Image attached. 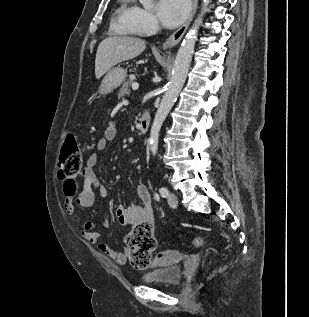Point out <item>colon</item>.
<instances>
[{
	"mask_svg": "<svg viewBox=\"0 0 309 317\" xmlns=\"http://www.w3.org/2000/svg\"><path fill=\"white\" fill-rule=\"evenodd\" d=\"M82 166L80 150L73 134H68L63 142L59 163L58 178L65 184L75 182ZM126 243L131 255V264L136 269H147L153 265L164 262L171 256V252L159 253L152 259V253L156 248L153 227L148 222H138L134 225L126 238ZM194 247L202 245V239L196 237L192 242Z\"/></svg>",
	"mask_w": 309,
	"mask_h": 317,
	"instance_id": "5ec220e1",
	"label": "colon"
}]
</instances>
